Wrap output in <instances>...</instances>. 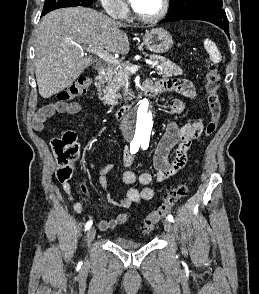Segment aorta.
I'll list each match as a JSON object with an SVG mask.
<instances>
[{
  "label": "aorta",
  "instance_id": "762f6f07",
  "mask_svg": "<svg viewBox=\"0 0 259 294\" xmlns=\"http://www.w3.org/2000/svg\"><path fill=\"white\" fill-rule=\"evenodd\" d=\"M154 115L152 104L144 99L127 116L124 129L131 139L149 141L153 134Z\"/></svg>",
  "mask_w": 259,
  "mask_h": 294
}]
</instances>
